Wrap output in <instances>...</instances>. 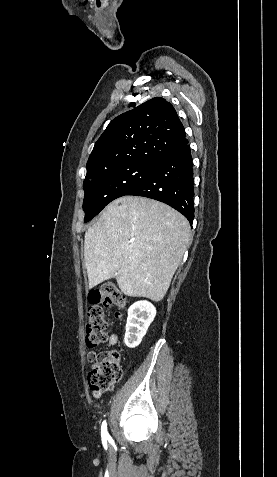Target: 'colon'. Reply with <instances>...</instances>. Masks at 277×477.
Returning <instances> with one entry per match:
<instances>
[{
	"label": "colon",
	"mask_w": 277,
	"mask_h": 477,
	"mask_svg": "<svg viewBox=\"0 0 277 477\" xmlns=\"http://www.w3.org/2000/svg\"><path fill=\"white\" fill-rule=\"evenodd\" d=\"M88 301L86 341L88 346L95 347L107 339L108 322L104 309L111 306L124 309L126 298L113 283H105L89 293ZM121 377L120 353L114 350L92 363L88 373L89 389L94 397L99 398L111 390Z\"/></svg>",
	"instance_id": "5ec220e1"
}]
</instances>
